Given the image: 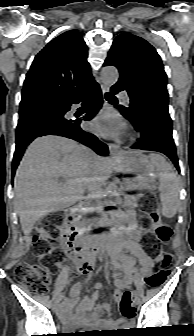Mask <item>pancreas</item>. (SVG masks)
<instances>
[{
	"mask_svg": "<svg viewBox=\"0 0 194 336\" xmlns=\"http://www.w3.org/2000/svg\"><path fill=\"white\" fill-rule=\"evenodd\" d=\"M128 192H124L122 197L125 199L123 209L125 211H134L138 195H145L150 191L149 187H144L139 182L130 183L126 187Z\"/></svg>",
	"mask_w": 194,
	"mask_h": 336,
	"instance_id": "obj_1",
	"label": "pancreas"
}]
</instances>
